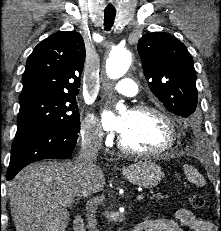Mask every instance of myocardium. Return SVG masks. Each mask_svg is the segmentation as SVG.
Listing matches in <instances>:
<instances>
[{
    "instance_id": "obj_1",
    "label": "myocardium",
    "mask_w": 221,
    "mask_h": 231,
    "mask_svg": "<svg viewBox=\"0 0 221 231\" xmlns=\"http://www.w3.org/2000/svg\"><path fill=\"white\" fill-rule=\"evenodd\" d=\"M131 112L153 113V114L160 116L167 124L168 130H169V141L164 147L158 150L145 151V150H137V149L129 148L123 143L121 135H120L117 139V145L123 152L131 154V155H137V156L159 157V156H162L168 153L170 150H172L176 146L177 128H176V124L172 116L168 112H166L165 110L159 107L152 106V105H137L132 108Z\"/></svg>"
}]
</instances>
